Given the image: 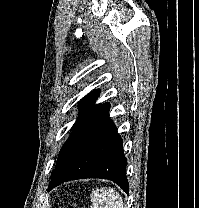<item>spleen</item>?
Listing matches in <instances>:
<instances>
[{
    "mask_svg": "<svg viewBox=\"0 0 199 208\" xmlns=\"http://www.w3.org/2000/svg\"><path fill=\"white\" fill-rule=\"evenodd\" d=\"M91 208H124V201L113 188H101L91 193Z\"/></svg>",
    "mask_w": 199,
    "mask_h": 208,
    "instance_id": "3e777b00",
    "label": "spleen"
}]
</instances>
